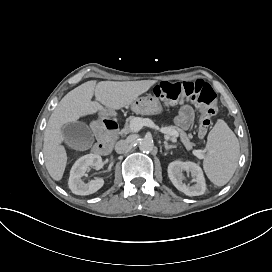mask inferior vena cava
<instances>
[{"label":"inferior vena cava","mask_w":272,"mask_h":272,"mask_svg":"<svg viewBox=\"0 0 272 272\" xmlns=\"http://www.w3.org/2000/svg\"><path fill=\"white\" fill-rule=\"evenodd\" d=\"M128 149V143L125 140H120L115 145V151L119 154L124 153Z\"/></svg>","instance_id":"602c4592"}]
</instances>
